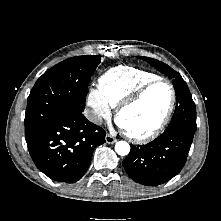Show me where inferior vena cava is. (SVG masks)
Wrapping results in <instances>:
<instances>
[{"instance_id": "602c4592", "label": "inferior vena cava", "mask_w": 221, "mask_h": 221, "mask_svg": "<svg viewBox=\"0 0 221 221\" xmlns=\"http://www.w3.org/2000/svg\"><path fill=\"white\" fill-rule=\"evenodd\" d=\"M87 117L89 118V120H91L92 122L96 123V124H101L102 123V119L101 117L92 114V113H88L86 112Z\"/></svg>"}]
</instances>
